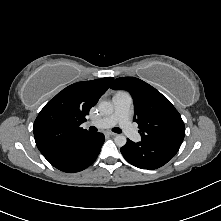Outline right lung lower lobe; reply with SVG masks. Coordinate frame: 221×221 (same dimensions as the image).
I'll return each instance as SVG.
<instances>
[{"mask_svg": "<svg viewBox=\"0 0 221 221\" xmlns=\"http://www.w3.org/2000/svg\"><path fill=\"white\" fill-rule=\"evenodd\" d=\"M104 140L102 133L80 135L60 145L56 152L46 159L63 172H79L96 160Z\"/></svg>", "mask_w": 221, "mask_h": 221, "instance_id": "obj_1", "label": "right lung lower lobe"}]
</instances>
